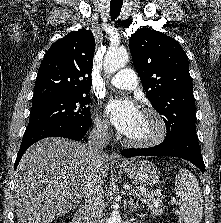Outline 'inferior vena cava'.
<instances>
[{"instance_id": "1", "label": "inferior vena cava", "mask_w": 221, "mask_h": 223, "mask_svg": "<svg viewBox=\"0 0 221 223\" xmlns=\"http://www.w3.org/2000/svg\"><path fill=\"white\" fill-rule=\"evenodd\" d=\"M108 125L96 122L89 134L87 149L90 168L85 185L84 220L85 223H98L103 205V177L100 174L101 160L104 156L103 148L109 144Z\"/></svg>"}]
</instances>
